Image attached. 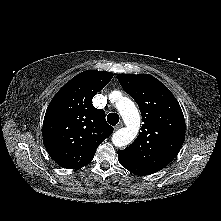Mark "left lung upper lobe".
I'll return each instance as SVG.
<instances>
[{"label":"left lung upper lobe","mask_w":221,"mask_h":221,"mask_svg":"<svg viewBox=\"0 0 221 221\" xmlns=\"http://www.w3.org/2000/svg\"><path fill=\"white\" fill-rule=\"evenodd\" d=\"M117 79L138 104L143 121L136 140L118 153L159 171L175 158L185 139L181 107L171 91L151 75L118 74Z\"/></svg>","instance_id":"1"}]
</instances>
